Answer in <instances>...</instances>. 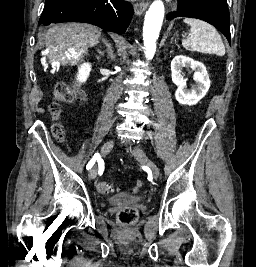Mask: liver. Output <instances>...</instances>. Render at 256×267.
I'll return each mask as SVG.
<instances>
[{
  "label": "liver",
  "mask_w": 256,
  "mask_h": 267,
  "mask_svg": "<svg viewBox=\"0 0 256 267\" xmlns=\"http://www.w3.org/2000/svg\"><path fill=\"white\" fill-rule=\"evenodd\" d=\"M100 38V30L91 24H56L45 34L46 56L50 64L75 66L87 56L89 48L99 44Z\"/></svg>",
  "instance_id": "1"
}]
</instances>
